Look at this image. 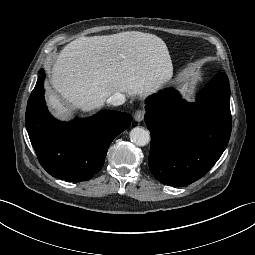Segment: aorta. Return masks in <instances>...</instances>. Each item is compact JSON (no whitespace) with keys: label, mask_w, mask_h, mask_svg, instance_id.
I'll list each match as a JSON object with an SVG mask.
<instances>
[{"label":"aorta","mask_w":255,"mask_h":255,"mask_svg":"<svg viewBox=\"0 0 255 255\" xmlns=\"http://www.w3.org/2000/svg\"><path fill=\"white\" fill-rule=\"evenodd\" d=\"M130 140L137 146H145L150 141V133L142 127H135L130 131Z\"/></svg>","instance_id":"aorta-1"}]
</instances>
